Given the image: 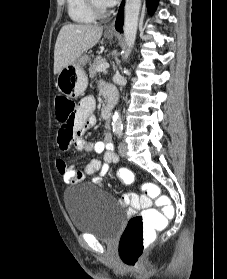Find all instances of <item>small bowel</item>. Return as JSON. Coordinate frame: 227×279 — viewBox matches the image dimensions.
<instances>
[{
	"label": "small bowel",
	"instance_id": "c3829d8e",
	"mask_svg": "<svg viewBox=\"0 0 227 279\" xmlns=\"http://www.w3.org/2000/svg\"><path fill=\"white\" fill-rule=\"evenodd\" d=\"M106 93L114 101L115 92L113 88L107 87ZM96 100L93 96L88 95L79 102L78 110L75 114V123L78 129L72 137L61 136L59 133V146L67 150L71 145L79 151H93L97 154H103V161L92 159L83 169H77L68 164L64 159L57 161V169L62 176L63 181L68 184H74L85 180L88 176L96 174L94 182L101 184V178L106 174L109 165L117 161V156L113 151V145L109 134H106L101 141H86L80 135L85 128L91 127L96 123L95 117ZM123 204L130 205L131 211H137L147 208L151 205V200L146 196H138L135 193H128L122 200Z\"/></svg>",
	"mask_w": 227,
	"mask_h": 279
}]
</instances>
